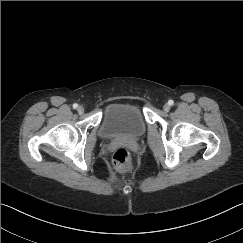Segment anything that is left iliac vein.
Wrapping results in <instances>:
<instances>
[{
    "mask_svg": "<svg viewBox=\"0 0 243 243\" xmlns=\"http://www.w3.org/2000/svg\"><path fill=\"white\" fill-rule=\"evenodd\" d=\"M163 110H164L165 112H168V111L170 110V106H169L168 104H165V105L163 106Z\"/></svg>",
    "mask_w": 243,
    "mask_h": 243,
    "instance_id": "obj_1",
    "label": "left iliac vein"
}]
</instances>
